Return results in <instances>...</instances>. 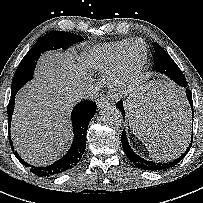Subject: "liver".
Returning a JSON list of instances; mask_svg holds the SVG:
<instances>
[{
	"label": "liver",
	"instance_id": "obj_1",
	"mask_svg": "<svg viewBox=\"0 0 203 203\" xmlns=\"http://www.w3.org/2000/svg\"><path fill=\"white\" fill-rule=\"evenodd\" d=\"M87 79L72 54L48 52L42 56L34 80L16 97L12 117V140L24 160L46 166L63 152L72 136L73 93ZM142 105L140 98L128 102L130 126L152 146H165L187 129V117L175 112L159 111L157 119L145 120Z\"/></svg>",
	"mask_w": 203,
	"mask_h": 203
}]
</instances>
